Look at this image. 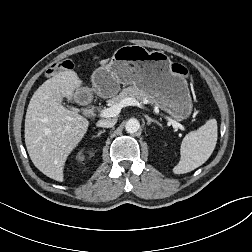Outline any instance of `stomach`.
Returning <instances> with one entry per match:
<instances>
[{
	"instance_id": "stomach-1",
	"label": "stomach",
	"mask_w": 252,
	"mask_h": 252,
	"mask_svg": "<svg viewBox=\"0 0 252 252\" xmlns=\"http://www.w3.org/2000/svg\"><path fill=\"white\" fill-rule=\"evenodd\" d=\"M94 91L103 98L113 97L120 84H132L148 99L176 120L187 119L193 110L187 81L171 71V60L163 51L139 45L118 48L110 62L92 74Z\"/></svg>"
}]
</instances>
